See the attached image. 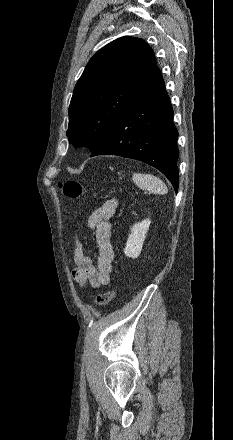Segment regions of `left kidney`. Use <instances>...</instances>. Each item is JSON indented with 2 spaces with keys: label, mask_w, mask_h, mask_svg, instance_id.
<instances>
[{
  "label": "left kidney",
  "mask_w": 233,
  "mask_h": 440,
  "mask_svg": "<svg viewBox=\"0 0 233 440\" xmlns=\"http://www.w3.org/2000/svg\"><path fill=\"white\" fill-rule=\"evenodd\" d=\"M150 223L151 221L149 219H145L133 225L131 234L126 242V247L124 248V253L127 257L135 259L140 255Z\"/></svg>",
  "instance_id": "left-kidney-1"
}]
</instances>
